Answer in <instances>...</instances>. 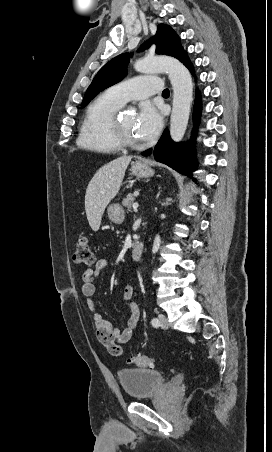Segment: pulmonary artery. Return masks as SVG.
I'll return each instance as SVG.
<instances>
[{
    "label": "pulmonary artery",
    "instance_id": "obj_1",
    "mask_svg": "<svg viewBox=\"0 0 272 452\" xmlns=\"http://www.w3.org/2000/svg\"><path fill=\"white\" fill-rule=\"evenodd\" d=\"M162 90V81L157 77H134L118 83L108 92L121 104L130 100L146 99Z\"/></svg>",
    "mask_w": 272,
    "mask_h": 452
}]
</instances>
